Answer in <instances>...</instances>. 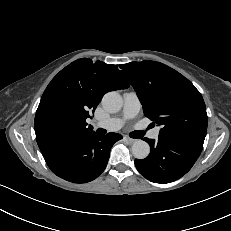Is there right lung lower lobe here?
<instances>
[{
  "label": "right lung lower lobe",
  "instance_id": "right-lung-lower-lobe-1",
  "mask_svg": "<svg viewBox=\"0 0 231 231\" xmlns=\"http://www.w3.org/2000/svg\"><path fill=\"white\" fill-rule=\"evenodd\" d=\"M122 139L117 133H94L80 139L65 140L41 150L51 171L73 183L97 178L106 168L112 145Z\"/></svg>",
  "mask_w": 231,
  "mask_h": 231
}]
</instances>
